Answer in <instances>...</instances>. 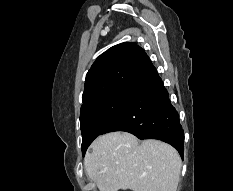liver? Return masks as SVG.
<instances>
[{"label":"liver","instance_id":"obj_1","mask_svg":"<svg viewBox=\"0 0 233 191\" xmlns=\"http://www.w3.org/2000/svg\"><path fill=\"white\" fill-rule=\"evenodd\" d=\"M84 166L99 191H176L182 161L169 144L117 131L93 141Z\"/></svg>","mask_w":233,"mask_h":191}]
</instances>
